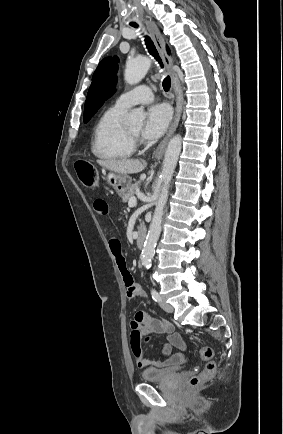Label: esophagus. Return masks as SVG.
<instances>
[{
  "label": "esophagus",
  "mask_w": 283,
  "mask_h": 434,
  "mask_svg": "<svg viewBox=\"0 0 283 434\" xmlns=\"http://www.w3.org/2000/svg\"><path fill=\"white\" fill-rule=\"evenodd\" d=\"M145 23L147 25V29H148L154 43L156 45V48L159 51V54H160V56H161V58L165 64V67L171 76L172 87L176 92H179L180 84H179L177 74L173 70V59L166 51L165 42H164V40L160 34V31H159L158 27L156 26L155 22L152 21L151 19L146 20ZM180 116H181V101H180V98H178L176 108H175V116H174L173 122H172L166 136L160 142V144L158 145V147L155 151V157L157 159H160L163 156L166 145H167L170 137L172 136V134L174 133V131L176 130V128L178 126Z\"/></svg>",
  "instance_id": "obj_1"
}]
</instances>
